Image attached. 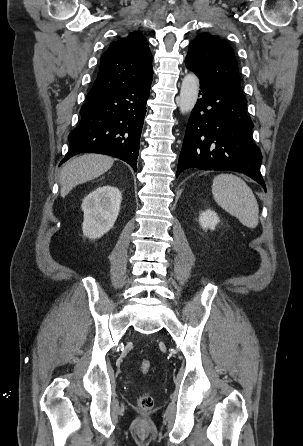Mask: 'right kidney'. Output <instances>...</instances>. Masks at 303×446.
Listing matches in <instances>:
<instances>
[{
  "instance_id": "obj_1",
  "label": "right kidney",
  "mask_w": 303,
  "mask_h": 446,
  "mask_svg": "<svg viewBox=\"0 0 303 446\" xmlns=\"http://www.w3.org/2000/svg\"><path fill=\"white\" fill-rule=\"evenodd\" d=\"M121 201V192L110 185L100 186L89 193L81 205L84 212V236L96 239L106 234L119 215Z\"/></svg>"
}]
</instances>
